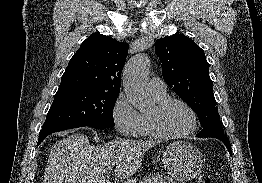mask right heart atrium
Listing matches in <instances>:
<instances>
[{
	"instance_id": "1",
	"label": "right heart atrium",
	"mask_w": 262,
	"mask_h": 183,
	"mask_svg": "<svg viewBox=\"0 0 262 183\" xmlns=\"http://www.w3.org/2000/svg\"><path fill=\"white\" fill-rule=\"evenodd\" d=\"M115 129L123 136L138 134L141 115L124 94L118 95L111 109Z\"/></svg>"
}]
</instances>
